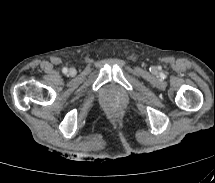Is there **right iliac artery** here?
<instances>
[{"label": "right iliac artery", "instance_id": "obj_1", "mask_svg": "<svg viewBox=\"0 0 215 183\" xmlns=\"http://www.w3.org/2000/svg\"><path fill=\"white\" fill-rule=\"evenodd\" d=\"M63 73H67L68 72V69L67 68H63Z\"/></svg>", "mask_w": 215, "mask_h": 183}]
</instances>
